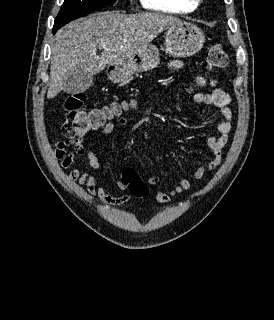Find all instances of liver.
Masks as SVG:
<instances>
[{"mask_svg":"<svg viewBox=\"0 0 274 320\" xmlns=\"http://www.w3.org/2000/svg\"><path fill=\"white\" fill-rule=\"evenodd\" d=\"M181 20L166 14H119L100 12L70 22L53 38L50 56V84L47 98L61 90L72 94V80L78 76H95L106 64H121L134 58L140 50ZM104 52L97 56L98 48Z\"/></svg>","mask_w":274,"mask_h":320,"instance_id":"6515ba94","label":"liver"}]
</instances>
